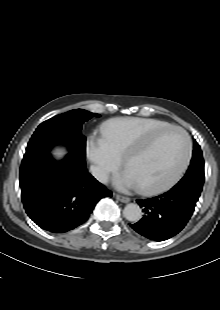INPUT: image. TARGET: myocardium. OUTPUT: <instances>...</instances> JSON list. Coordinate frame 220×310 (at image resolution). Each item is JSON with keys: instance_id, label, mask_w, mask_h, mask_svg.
I'll return each mask as SVG.
<instances>
[{"instance_id": "myocardium-1", "label": "myocardium", "mask_w": 220, "mask_h": 310, "mask_svg": "<svg viewBox=\"0 0 220 310\" xmlns=\"http://www.w3.org/2000/svg\"><path fill=\"white\" fill-rule=\"evenodd\" d=\"M188 154H189V151L187 150L186 153H185V156H184V159H183V162L179 168V170L177 171V173L183 168V166L185 165L187 159H188ZM166 185V184H165Z\"/></svg>"}]
</instances>
